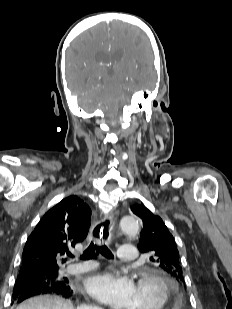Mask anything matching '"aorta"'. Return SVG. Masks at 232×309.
Instances as JSON below:
<instances>
[{
	"label": "aorta",
	"mask_w": 232,
	"mask_h": 309,
	"mask_svg": "<svg viewBox=\"0 0 232 309\" xmlns=\"http://www.w3.org/2000/svg\"><path fill=\"white\" fill-rule=\"evenodd\" d=\"M122 231L128 235H136L139 232V223L134 216H126L120 220Z\"/></svg>",
	"instance_id": "obj_1"
}]
</instances>
